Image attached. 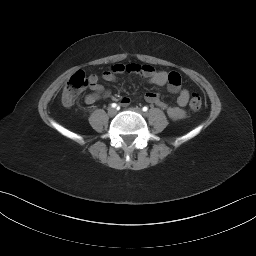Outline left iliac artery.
<instances>
[{"instance_id": "44dca946", "label": "left iliac artery", "mask_w": 256, "mask_h": 256, "mask_svg": "<svg viewBox=\"0 0 256 256\" xmlns=\"http://www.w3.org/2000/svg\"><path fill=\"white\" fill-rule=\"evenodd\" d=\"M142 110H143L144 112H146V111L148 110V107L144 106V107L142 108Z\"/></svg>"}]
</instances>
